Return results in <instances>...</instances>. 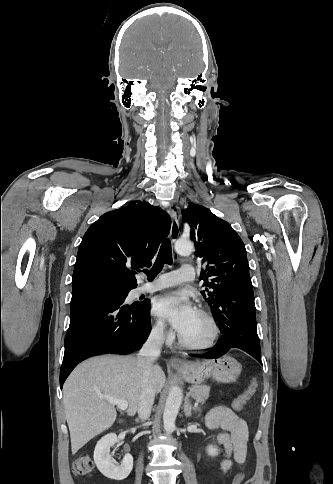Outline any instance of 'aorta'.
Here are the masks:
<instances>
[{"instance_id":"aorta-1","label":"aorta","mask_w":333,"mask_h":484,"mask_svg":"<svg viewBox=\"0 0 333 484\" xmlns=\"http://www.w3.org/2000/svg\"><path fill=\"white\" fill-rule=\"evenodd\" d=\"M175 250L180 255H188L193 250L191 241L179 239L175 243ZM182 402V391L179 387H173L166 400L163 413L164 429L167 433H173L175 430V420Z\"/></svg>"}]
</instances>
